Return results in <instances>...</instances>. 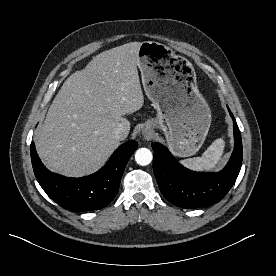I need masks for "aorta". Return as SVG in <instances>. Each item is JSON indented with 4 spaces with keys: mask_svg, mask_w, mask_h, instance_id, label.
Wrapping results in <instances>:
<instances>
[{
    "mask_svg": "<svg viewBox=\"0 0 276 276\" xmlns=\"http://www.w3.org/2000/svg\"><path fill=\"white\" fill-rule=\"evenodd\" d=\"M152 159V152L147 148H140L135 152V161L140 166L149 165Z\"/></svg>",
    "mask_w": 276,
    "mask_h": 276,
    "instance_id": "762f6f07",
    "label": "aorta"
}]
</instances>
